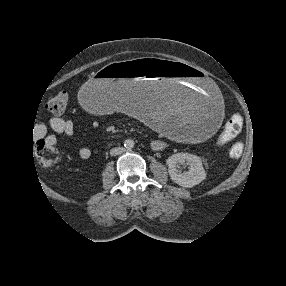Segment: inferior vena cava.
<instances>
[{
  "mask_svg": "<svg viewBox=\"0 0 286 286\" xmlns=\"http://www.w3.org/2000/svg\"><path fill=\"white\" fill-rule=\"evenodd\" d=\"M124 152V148L122 147H116V148H112L110 150V155L111 156H116V155H120Z\"/></svg>",
  "mask_w": 286,
  "mask_h": 286,
  "instance_id": "1",
  "label": "inferior vena cava"
}]
</instances>
